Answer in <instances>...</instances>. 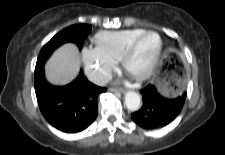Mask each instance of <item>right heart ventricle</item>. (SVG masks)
I'll use <instances>...</instances> for the list:
<instances>
[{
    "label": "right heart ventricle",
    "mask_w": 225,
    "mask_h": 155,
    "mask_svg": "<svg viewBox=\"0 0 225 155\" xmlns=\"http://www.w3.org/2000/svg\"><path fill=\"white\" fill-rule=\"evenodd\" d=\"M142 32L143 29L99 32L94 37L95 49L103 56L117 62L127 45Z\"/></svg>",
    "instance_id": "obj_1"
}]
</instances>
